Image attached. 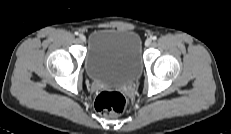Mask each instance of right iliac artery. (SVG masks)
Wrapping results in <instances>:
<instances>
[{"instance_id":"right-iliac-artery-1","label":"right iliac artery","mask_w":231,"mask_h":134,"mask_svg":"<svg viewBox=\"0 0 231 134\" xmlns=\"http://www.w3.org/2000/svg\"><path fill=\"white\" fill-rule=\"evenodd\" d=\"M74 34H75L76 36H77V35H79V33H78V32H75Z\"/></svg>"}]
</instances>
